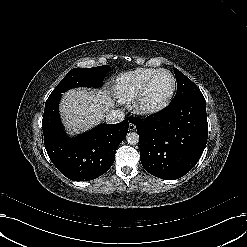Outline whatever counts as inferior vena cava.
I'll return each mask as SVG.
<instances>
[{
  "label": "inferior vena cava",
  "instance_id": "inferior-vena-cava-1",
  "mask_svg": "<svg viewBox=\"0 0 247 247\" xmlns=\"http://www.w3.org/2000/svg\"><path fill=\"white\" fill-rule=\"evenodd\" d=\"M125 114L122 110H111L106 114V123L108 124H117L123 121Z\"/></svg>",
  "mask_w": 247,
  "mask_h": 247
}]
</instances>
